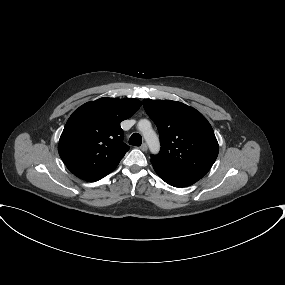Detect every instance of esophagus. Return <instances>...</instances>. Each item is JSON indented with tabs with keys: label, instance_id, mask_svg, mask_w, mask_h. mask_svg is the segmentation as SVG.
Wrapping results in <instances>:
<instances>
[{
	"label": "esophagus",
	"instance_id": "esophagus-1",
	"mask_svg": "<svg viewBox=\"0 0 285 285\" xmlns=\"http://www.w3.org/2000/svg\"><path fill=\"white\" fill-rule=\"evenodd\" d=\"M140 149H141L142 151H147V149H148L147 144H146V143H143V144L140 146Z\"/></svg>",
	"mask_w": 285,
	"mask_h": 285
}]
</instances>
